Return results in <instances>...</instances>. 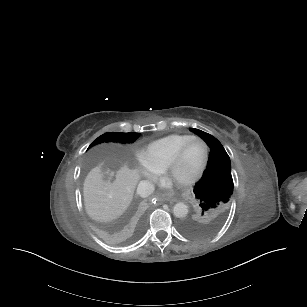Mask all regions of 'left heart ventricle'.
<instances>
[{"label": "left heart ventricle", "instance_id": "left-heart-ventricle-1", "mask_svg": "<svg viewBox=\"0 0 307 307\" xmlns=\"http://www.w3.org/2000/svg\"><path fill=\"white\" fill-rule=\"evenodd\" d=\"M205 147L200 141H192L181 162L169 172V180L175 184L185 181L202 163Z\"/></svg>", "mask_w": 307, "mask_h": 307}]
</instances>
